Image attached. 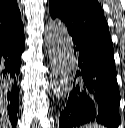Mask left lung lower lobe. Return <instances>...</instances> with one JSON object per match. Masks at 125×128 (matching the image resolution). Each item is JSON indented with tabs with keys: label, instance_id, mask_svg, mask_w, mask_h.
Returning <instances> with one entry per match:
<instances>
[{
	"label": "left lung lower lobe",
	"instance_id": "0a47b994",
	"mask_svg": "<svg viewBox=\"0 0 125 128\" xmlns=\"http://www.w3.org/2000/svg\"><path fill=\"white\" fill-rule=\"evenodd\" d=\"M73 43L79 69L60 113L59 128H77L91 122L118 128L120 92L113 49L78 39Z\"/></svg>",
	"mask_w": 125,
	"mask_h": 128
}]
</instances>
